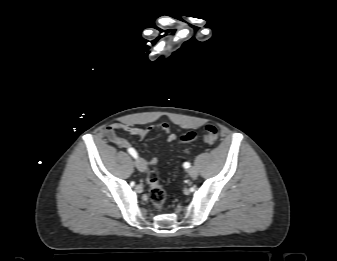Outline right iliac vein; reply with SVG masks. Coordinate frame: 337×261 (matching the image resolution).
<instances>
[{"label":"right iliac vein","instance_id":"obj_1","mask_svg":"<svg viewBox=\"0 0 337 261\" xmlns=\"http://www.w3.org/2000/svg\"><path fill=\"white\" fill-rule=\"evenodd\" d=\"M135 166L141 172H144L147 169L145 161L141 158H139L135 161Z\"/></svg>","mask_w":337,"mask_h":261}]
</instances>
